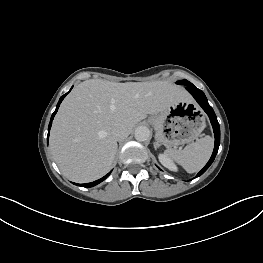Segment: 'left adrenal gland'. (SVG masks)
<instances>
[{
  "instance_id": "obj_1",
  "label": "left adrenal gland",
  "mask_w": 263,
  "mask_h": 263,
  "mask_svg": "<svg viewBox=\"0 0 263 263\" xmlns=\"http://www.w3.org/2000/svg\"><path fill=\"white\" fill-rule=\"evenodd\" d=\"M154 148L157 149V147H159V144L157 142H154Z\"/></svg>"
}]
</instances>
